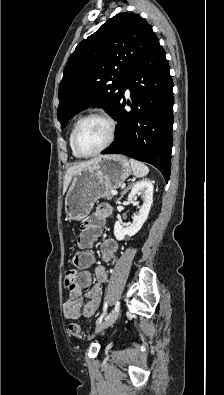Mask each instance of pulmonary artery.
Masks as SVG:
<instances>
[{
  "mask_svg": "<svg viewBox=\"0 0 224 395\" xmlns=\"http://www.w3.org/2000/svg\"><path fill=\"white\" fill-rule=\"evenodd\" d=\"M125 92H126V95H129V94H130V90H129L128 88L126 89Z\"/></svg>",
  "mask_w": 224,
  "mask_h": 395,
  "instance_id": "obj_1",
  "label": "pulmonary artery"
}]
</instances>
